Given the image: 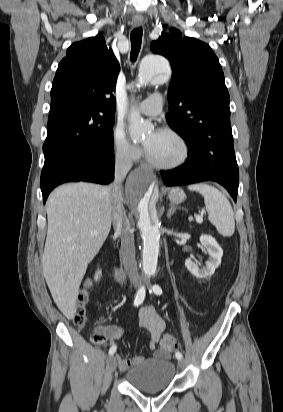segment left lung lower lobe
Instances as JSON below:
<instances>
[{
  "label": "left lung lower lobe",
  "mask_w": 283,
  "mask_h": 412,
  "mask_svg": "<svg viewBox=\"0 0 283 412\" xmlns=\"http://www.w3.org/2000/svg\"><path fill=\"white\" fill-rule=\"evenodd\" d=\"M189 158L186 163L170 171H161V176L167 186L191 184L202 181H215L223 185L236 202L239 180L226 175L228 167L224 158L217 160L207 154L199 142H190Z\"/></svg>",
  "instance_id": "left-lung-lower-lobe-1"
}]
</instances>
